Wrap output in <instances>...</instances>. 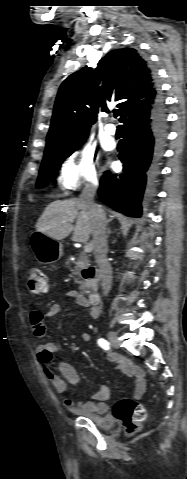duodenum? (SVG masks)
Wrapping results in <instances>:
<instances>
[{
  "mask_svg": "<svg viewBox=\"0 0 187 479\" xmlns=\"http://www.w3.org/2000/svg\"><path fill=\"white\" fill-rule=\"evenodd\" d=\"M95 276H96V273H95L94 271H92V272L89 271L87 277H88L89 280H92V279L95 278ZM88 299H89L90 304H92V305H95V304H97V303L99 302V300H100V294H99V291H98V288H97V287L94 286V287L89 291V293H88Z\"/></svg>",
  "mask_w": 187,
  "mask_h": 479,
  "instance_id": "410a0bca",
  "label": "duodenum"
}]
</instances>
